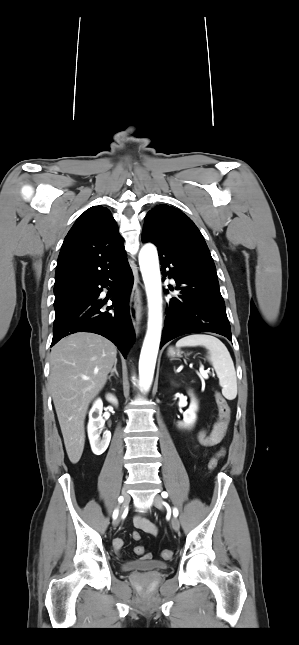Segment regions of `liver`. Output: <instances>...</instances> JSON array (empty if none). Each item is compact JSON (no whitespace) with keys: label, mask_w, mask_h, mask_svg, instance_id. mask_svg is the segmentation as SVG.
I'll list each match as a JSON object with an SVG mask.
<instances>
[{"label":"liver","mask_w":299,"mask_h":645,"mask_svg":"<svg viewBox=\"0 0 299 645\" xmlns=\"http://www.w3.org/2000/svg\"><path fill=\"white\" fill-rule=\"evenodd\" d=\"M116 355L112 342L87 332L69 335L51 350L50 392L66 452L73 464L83 453L89 404L106 384Z\"/></svg>","instance_id":"6515ba94"}]
</instances>
